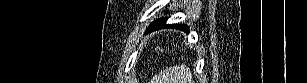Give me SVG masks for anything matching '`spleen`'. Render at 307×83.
Instances as JSON below:
<instances>
[{"mask_svg":"<svg viewBox=\"0 0 307 83\" xmlns=\"http://www.w3.org/2000/svg\"><path fill=\"white\" fill-rule=\"evenodd\" d=\"M190 68L183 65L174 66L155 75L151 83H194Z\"/></svg>","mask_w":307,"mask_h":83,"instance_id":"obj_1","label":"spleen"}]
</instances>
